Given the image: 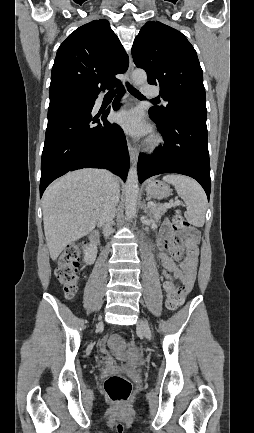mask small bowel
<instances>
[{
  "label": "small bowel",
  "instance_id": "obj_1",
  "mask_svg": "<svg viewBox=\"0 0 254 433\" xmlns=\"http://www.w3.org/2000/svg\"><path fill=\"white\" fill-rule=\"evenodd\" d=\"M185 240V241H184ZM197 234L185 237L176 234L171 225L165 222L159 232L158 246L159 259L162 264V276L165 280L164 288L167 291L170 287H178L181 301L192 290L195 282V274L198 263ZM182 260L180 265L177 260ZM105 350L104 344H101ZM136 347L129 348L130 354H136ZM111 365L113 361L108 360Z\"/></svg>",
  "mask_w": 254,
  "mask_h": 433
}]
</instances>
